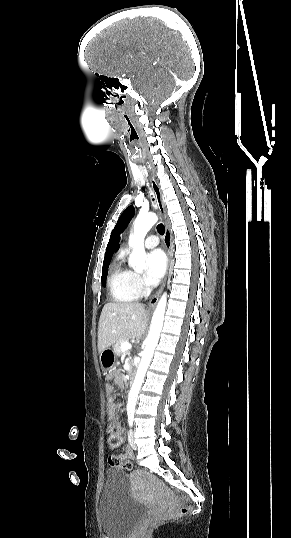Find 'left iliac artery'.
Segmentation results:
<instances>
[{
    "label": "left iliac artery",
    "mask_w": 291,
    "mask_h": 538,
    "mask_svg": "<svg viewBox=\"0 0 291 538\" xmlns=\"http://www.w3.org/2000/svg\"><path fill=\"white\" fill-rule=\"evenodd\" d=\"M133 420H134V414L133 413H128V423L130 426L133 425Z\"/></svg>",
    "instance_id": "left-iliac-artery-1"
}]
</instances>
